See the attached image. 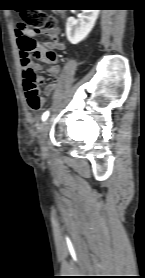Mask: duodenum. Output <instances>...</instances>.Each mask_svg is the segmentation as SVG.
Instances as JSON below:
<instances>
[{"instance_id": "obj_1", "label": "duodenum", "mask_w": 145, "mask_h": 278, "mask_svg": "<svg viewBox=\"0 0 145 278\" xmlns=\"http://www.w3.org/2000/svg\"><path fill=\"white\" fill-rule=\"evenodd\" d=\"M54 89H55V88H53L52 90L46 91V92H45V95H46V96H50V95L53 93Z\"/></svg>"}]
</instances>
